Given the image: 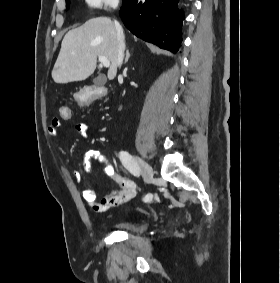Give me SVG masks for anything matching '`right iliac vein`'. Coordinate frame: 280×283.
I'll list each match as a JSON object with an SVG mask.
<instances>
[{
	"mask_svg": "<svg viewBox=\"0 0 280 283\" xmlns=\"http://www.w3.org/2000/svg\"><path fill=\"white\" fill-rule=\"evenodd\" d=\"M138 162L140 164L142 176H143L145 183L147 184L151 183L153 179V169L146 161H144L140 157H138Z\"/></svg>",
	"mask_w": 280,
	"mask_h": 283,
	"instance_id": "right-iliac-vein-1",
	"label": "right iliac vein"
}]
</instances>
